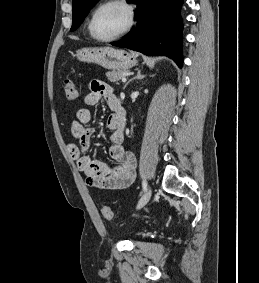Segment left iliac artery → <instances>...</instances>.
I'll list each match as a JSON object with an SVG mask.
<instances>
[{
  "label": "left iliac artery",
  "mask_w": 259,
  "mask_h": 283,
  "mask_svg": "<svg viewBox=\"0 0 259 283\" xmlns=\"http://www.w3.org/2000/svg\"><path fill=\"white\" fill-rule=\"evenodd\" d=\"M142 187H143V190L146 191V189H147V182L145 180H143V182H142Z\"/></svg>",
  "instance_id": "left-iliac-artery-1"
}]
</instances>
